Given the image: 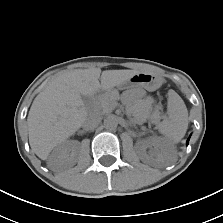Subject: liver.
<instances>
[{
	"instance_id": "liver-1",
	"label": "liver",
	"mask_w": 223,
	"mask_h": 223,
	"mask_svg": "<svg viewBox=\"0 0 223 223\" xmlns=\"http://www.w3.org/2000/svg\"><path fill=\"white\" fill-rule=\"evenodd\" d=\"M135 70L76 69L64 72L34 99L27 123L29 144L42 160L81 128L88 113L82 96H93L126 83ZM99 79L101 82H99Z\"/></svg>"
}]
</instances>
